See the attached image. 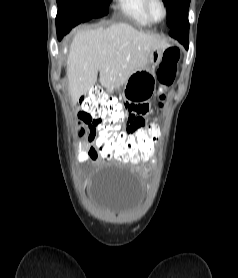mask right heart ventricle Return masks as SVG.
<instances>
[{"instance_id": "right-heart-ventricle-1", "label": "right heart ventricle", "mask_w": 238, "mask_h": 278, "mask_svg": "<svg viewBox=\"0 0 238 278\" xmlns=\"http://www.w3.org/2000/svg\"><path fill=\"white\" fill-rule=\"evenodd\" d=\"M120 10L131 19L141 24H150L151 20L148 18L144 0H117Z\"/></svg>"}]
</instances>
